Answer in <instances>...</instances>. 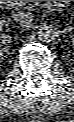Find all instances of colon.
Segmentation results:
<instances>
[{
    "instance_id": "obj_1",
    "label": "colon",
    "mask_w": 74,
    "mask_h": 122,
    "mask_svg": "<svg viewBox=\"0 0 74 122\" xmlns=\"http://www.w3.org/2000/svg\"><path fill=\"white\" fill-rule=\"evenodd\" d=\"M59 2L65 3L66 1H59Z\"/></svg>"
}]
</instances>
